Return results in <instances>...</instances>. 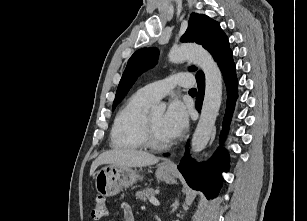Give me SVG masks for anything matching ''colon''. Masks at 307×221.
<instances>
[{
	"mask_svg": "<svg viewBox=\"0 0 307 221\" xmlns=\"http://www.w3.org/2000/svg\"><path fill=\"white\" fill-rule=\"evenodd\" d=\"M107 215V202L104 197H97L94 202L92 216L96 219L103 218Z\"/></svg>",
	"mask_w": 307,
	"mask_h": 221,
	"instance_id": "5ec220e1",
	"label": "colon"
}]
</instances>
